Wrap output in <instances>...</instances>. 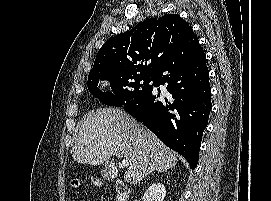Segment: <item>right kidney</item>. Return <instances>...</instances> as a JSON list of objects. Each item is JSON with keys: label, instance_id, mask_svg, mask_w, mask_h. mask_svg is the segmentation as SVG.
I'll use <instances>...</instances> for the list:
<instances>
[{"label": "right kidney", "instance_id": "obj_1", "mask_svg": "<svg viewBox=\"0 0 271 201\" xmlns=\"http://www.w3.org/2000/svg\"><path fill=\"white\" fill-rule=\"evenodd\" d=\"M165 195V186L161 183H154L144 193L143 201H164Z\"/></svg>", "mask_w": 271, "mask_h": 201}]
</instances>
